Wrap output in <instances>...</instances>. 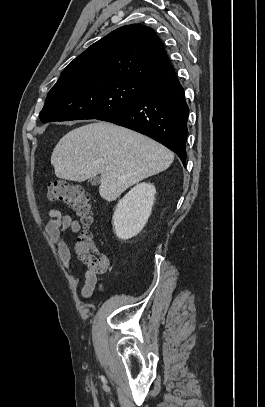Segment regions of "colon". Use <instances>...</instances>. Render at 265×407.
<instances>
[{
    "label": "colon",
    "instance_id": "obj_1",
    "mask_svg": "<svg viewBox=\"0 0 265 407\" xmlns=\"http://www.w3.org/2000/svg\"><path fill=\"white\" fill-rule=\"evenodd\" d=\"M46 197L49 201L69 205L78 213L85 225L93 222L94 201L83 188L55 181L48 184ZM76 253L78 259L93 271H104L109 265L108 258L97 249L89 233H85L77 240Z\"/></svg>",
    "mask_w": 265,
    "mask_h": 407
}]
</instances>
